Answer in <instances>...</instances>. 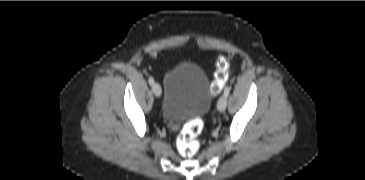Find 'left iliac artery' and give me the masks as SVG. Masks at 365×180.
<instances>
[{
    "mask_svg": "<svg viewBox=\"0 0 365 180\" xmlns=\"http://www.w3.org/2000/svg\"><path fill=\"white\" fill-rule=\"evenodd\" d=\"M229 92H230V88L229 87H226L225 90H224V95L226 97H228L229 96Z\"/></svg>",
    "mask_w": 365,
    "mask_h": 180,
    "instance_id": "obj_1",
    "label": "left iliac artery"
}]
</instances>
